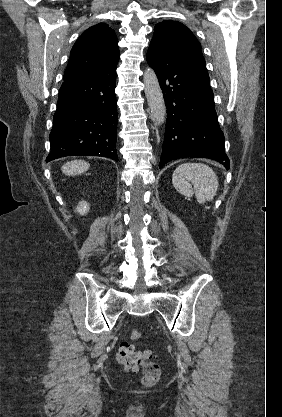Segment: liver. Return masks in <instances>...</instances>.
I'll list each match as a JSON object with an SVG mask.
<instances>
[{"instance_id": "6515ba94", "label": "liver", "mask_w": 282, "mask_h": 417, "mask_svg": "<svg viewBox=\"0 0 282 417\" xmlns=\"http://www.w3.org/2000/svg\"><path fill=\"white\" fill-rule=\"evenodd\" d=\"M89 166L90 164L85 160H72V162H65L61 166V170L64 174H81V172L88 170Z\"/></svg>"}]
</instances>
